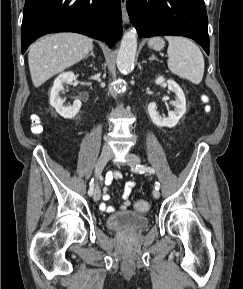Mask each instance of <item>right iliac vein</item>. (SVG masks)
<instances>
[{
    "mask_svg": "<svg viewBox=\"0 0 243 289\" xmlns=\"http://www.w3.org/2000/svg\"><path fill=\"white\" fill-rule=\"evenodd\" d=\"M111 158V152L108 150H103L101 152V155L96 163V167H95V174L96 177L98 178L99 175L101 174L102 170L104 169L105 165L107 164V162L109 161V159ZM101 198V190L99 188V186L96 184L94 192H93V199L94 201H99Z\"/></svg>",
    "mask_w": 243,
    "mask_h": 289,
    "instance_id": "63e3f726",
    "label": "right iliac vein"
}]
</instances>
